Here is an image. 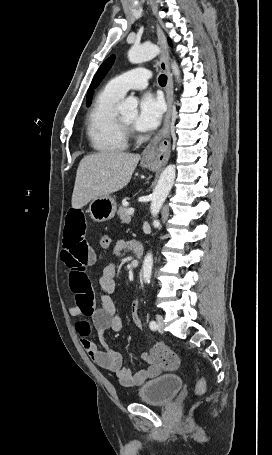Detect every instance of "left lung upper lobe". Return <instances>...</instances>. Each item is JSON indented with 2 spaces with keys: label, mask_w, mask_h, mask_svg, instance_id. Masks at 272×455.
Wrapping results in <instances>:
<instances>
[{
  "label": "left lung upper lobe",
  "mask_w": 272,
  "mask_h": 455,
  "mask_svg": "<svg viewBox=\"0 0 272 455\" xmlns=\"http://www.w3.org/2000/svg\"><path fill=\"white\" fill-rule=\"evenodd\" d=\"M169 43L171 44L170 40H169ZM114 59H115V57L113 55L110 56L99 67L97 73L95 74V76H94V78L92 80V83H91L90 88H89L88 93H87V106H89L90 103H91L93 92H94L93 89L96 88L100 84V82L102 81L104 76L107 74V72L109 71V69L111 68V66H112V64L114 62Z\"/></svg>",
  "instance_id": "5c2ea615"
}]
</instances>
